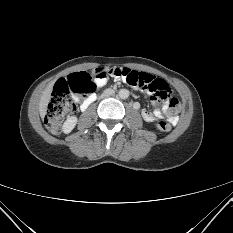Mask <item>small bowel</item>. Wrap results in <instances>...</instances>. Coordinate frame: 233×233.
<instances>
[{
	"instance_id": "c3829d8e",
	"label": "small bowel",
	"mask_w": 233,
	"mask_h": 233,
	"mask_svg": "<svg viewBox=\"0 0 233 233\" xmlns=\"http://www.w3.org/2000/svg\"><path fill=\"white\" fill-rule=\"evenodd\" d=\"M107 82H108V76H97L95 78V84L97 88H101L105 86ZM93 99H94L93 96H90L87 99H85L81 104V108L86 109L90 105V103L93 101ZM141 114H142L143 119L147 122H153L158 119L167 118L171 124H176L178 120L177 117L168 116L166 113V110L161 106H157L154 111L143 109Z\"/></svg>"
}]
</instances>
